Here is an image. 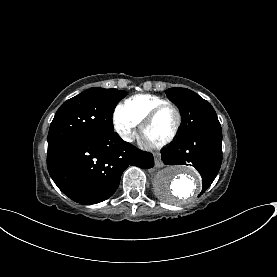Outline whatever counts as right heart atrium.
Masks as SVG:
<instances>
[{
	"label": "right heart atrium",
	"instance_id": "d8ad5b80",
	"mask_svg": "<svg viewBox=\"0 0 277 277\" xmlns=\"http://www.w3.org/2000/svg\"><path fill=\"white\" fill-rule=\"evenodd\" d=\"M114 125L123 140L127 142L133 140L138 125V122L134 118L117 111L114 117Z\"/></svg>",
	"mask_w": 277,
	"mask_h": 277
}]
</instances>
